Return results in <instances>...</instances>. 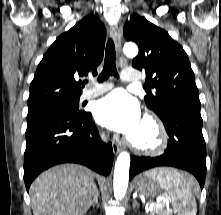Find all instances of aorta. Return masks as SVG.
Here are the masks:
<instances>
[{
    "label": "aorta",
    "instance_id": "aorta-1",
    "mask_svg": "<svg viewBox=\"0 0 221 215\" xmlns=\"http://www.w3.org/2000/svg\"><path fill=\"white\" fill-rule=\"evenodd\" d=\"M123 53L128 57H135L138 54V47L134 43H126L123 46ZM130 155L128 152H121L117 157L114 169V196L121 200L127 190L129 181Z\"/></svg>",
    "mask_w": 221,
    "mask_h": 215
}]
</instances>
